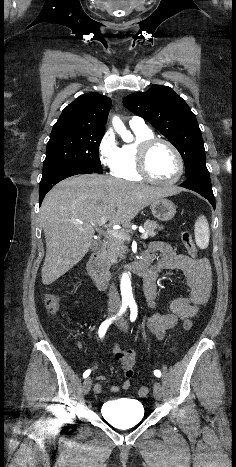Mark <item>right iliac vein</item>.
I'll use <instances>...</instances> for the list:
<instances>
[{
    "mask_svg": "<svg viewBox=\"0 0 236 467\" xmlns=\"http://www.w3.org/2000/svg\"><path fill=\"white\" fill-rule=\"evenodd\" d=\"M92 386V379L86 378L83 382V392L84 394H88Z\"/></svg>",
    "mask_w": 236,
    "mask_h": 467,
    "instance_id": "63e3f726",
    "label": "right iliac vein"
}]
</instances>
